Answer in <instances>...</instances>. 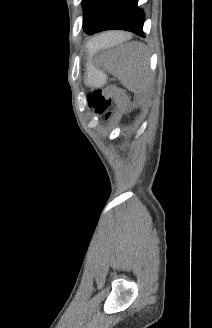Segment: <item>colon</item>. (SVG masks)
Segmentation results:
<instances>
[{"mask_svg": "<svg viewBox=\"0 0 212 328\" xmlns=\"http://www.w3.org/2000/svg\"><path fill=\"white\" fill-rule=\"evenodd\" d=\"M125 93L118 87H108L106 89L94 90L87 96V102L90 109L97 115L104 117L106 120L110 118L107 111L112 103L123 104L125 102Z\"/></svg>", "mask_w": 212, "mask_h": 328, "instance_id": "colon-1", "label": "colon"}]
</instances>
